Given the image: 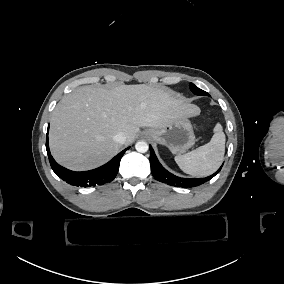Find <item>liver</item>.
<instances>
[{
    "mask_svg": "<svg viewBox=\"0 0 284 284\" xmlns=\"http://www.w3.org/2000/svg\"><path fill=\"white\" fill-rule=\"evenodd\" d=\"M200 114L199 107L145 84L121 85L112 91L81 86L57 104L51 118L50 146L62 165L90 169L121 149L113 140L117 133L122 132L124 145H130L139 127H165L176 119Z\"/></svg>",
    "mask_w": 284,
    "mask_h": 284,
    "instance_id": "obj_1",
    "label": "liver"
}]
</instances>
